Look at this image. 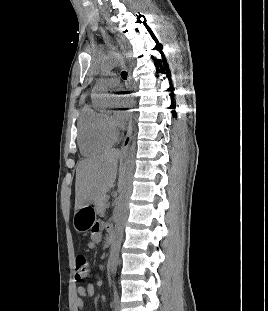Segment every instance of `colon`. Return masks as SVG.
<instances>
[{
	"label": "colon",
	"mask_w": 268,
	"mask_h": 311,
	"mask_svg": "<svg viewBox=\"0 0 268 311\" xmlns=\"http://www.w3.org/2000/svg\"><path fill=\"white\" fill-rule=\"evenodd\" d=\"M76 277L77 279L85 278L89 275V266L85 255L79 254L76 256Z\"/></svg>",
	"instance_id": "obj_1"
}]
</instances>
